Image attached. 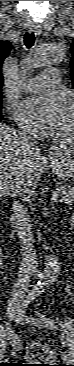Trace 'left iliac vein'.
<instances>
[{"instance_id":"obj_1","label":"left iliac vein","mask_w":74,"mask_h":366,"mask_svg":"<svg viewBox=\"0 0 74 366\" xmlns=\"http://www.w3.org/2000/svg\"><path fill=\"white\" fill-rule=\"evenodd\" d=\"M18 322H20L21 324H29L30 323V321L26 318V316H25V312L24 311H21V313H20V319H19V321ZM70 354H65L64 355V360H70Z\"/></svg>"}]
</instances>
